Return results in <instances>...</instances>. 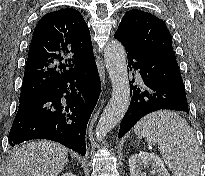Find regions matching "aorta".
Returning a JSON list of instances; mask_svg holds the SVG:
<instances>
[{"label": "aorta", "instance_id": "1", "mask_svg": "<svg viewBox=\"0 0 205 176\" xmlns=\"http://www.w3.org/2000/svg\"><path fill=\"white\" fill-rule=\"evenodd\" d=\"M104 60L112 83V97L96 127L98 140L122 120L130 104L127 56L123 45L118 41L109 42L104 50Z\"/></svg>", "mask_w": 205, "mask_h": 176}]
</instances>
